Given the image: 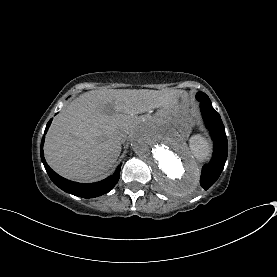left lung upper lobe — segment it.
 Instances as JSON below:
<instances>
[{"mask_svg": "<svg viewBox=\"0 0 277 277\" xmlns=\"http://www.w3.org/2000/svg\"><path fill=\"white\" fill-rule=\"evenodd\" d=\"M196 98H197V100L200 101V102H206V103L211 104L210 99H209L208 96H207L205 93H203V92H198L197 95H196Z\"/></svg>", "mask_w": 277, "mask_h": 277, "instance_id": "1", "label": "left lung upper lobe"}]
</instances>
